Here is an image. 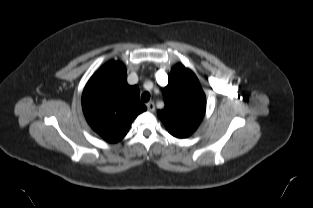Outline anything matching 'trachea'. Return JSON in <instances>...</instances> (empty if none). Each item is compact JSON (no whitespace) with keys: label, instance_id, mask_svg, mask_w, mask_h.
Wrapping results in <instances>:
<instances>
[{"label":"trachea","instance_id":"3493384b","mask_svg":"<svg viewBox=\"0 0 313 208\" xmlns=\"http://www.w3.org/2000/svg\"><path fill=\"white\" fill-rule=\"evenodd\" d=\"M150 99V94L148 92H144L142 95H141V100L143 102H148Z\"/></svg>","mask_w":313,"mask_h":208}]
</instances>
